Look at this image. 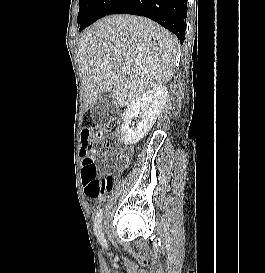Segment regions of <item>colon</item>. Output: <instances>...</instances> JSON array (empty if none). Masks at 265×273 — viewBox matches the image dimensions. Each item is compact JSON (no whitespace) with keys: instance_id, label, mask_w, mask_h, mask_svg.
<instances>
[{"instance_id":"5ec220e1","label":"colon","mask_w":265,"mask_h":273,"mask_svg":"<svg viewBox=\"0 0 265 273\" xmlns=\"http://www.w3.org/2000/svg\"><path fill=\"white\" fill-rule=\"evenodd\" d=\"M120 126L118 120L111 121L107 125L98 126L95 130L83 129L81 134L82 141V155L84 157L82 167V180L85 187L86 195L104 198L113 188V178L107 176L103 179L98 178V166L96 159L100 149L106 144L108 140L112 139ZM120 166L126 164V157L124 154L119 156Z\"/></svg>"}]
</instances>
